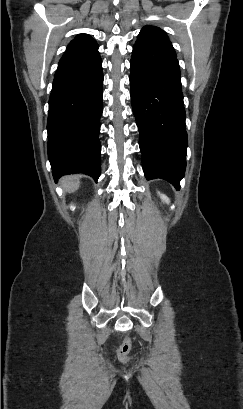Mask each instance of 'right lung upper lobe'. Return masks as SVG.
<instances>
[{
	"label": "right lung upper lobe",
	"instance_id": "obj_1",
	"mask_svg": "<svg viewBox=\"0 0 243 409\" xmlns=\"http://www.w3.org/2000/svg\"><path fill=\"white\" fill-rule=\"evenodd\" d=\"M94 46H97V43L90 35L79 34L69 43L61 59L82 53Z\"/></svg>",
	"mask_w": 243,
	"mask_h": 409
}]
</instances>
